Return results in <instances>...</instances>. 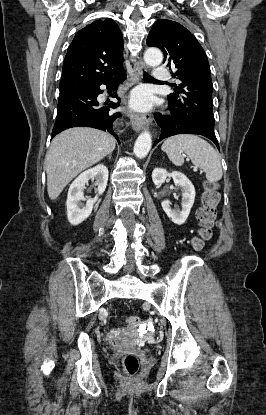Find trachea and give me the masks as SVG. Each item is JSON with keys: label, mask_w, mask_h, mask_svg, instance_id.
I'll list each match as a JSON object with an SVG mask.
<instances>
[{"label": "trachea", "mask_w": 266, "mask_h": 415, "mask_svg": "<svg viewBox=\"0 0 266 415\" xmlns=\"http://www.w3.org/2000/svg\"><path fill=\"white\" fill-rule=\"evenodd\" d=\"M144 78H149V79H153V77H151L149 74H147L146 72L143 73Z\"/></svg>", "instance_id": "obj_1"}]
</instances>
